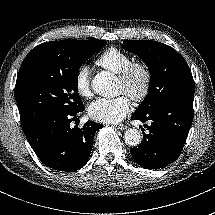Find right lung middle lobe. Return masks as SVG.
I'll return each mask as SVG.
<instances>
[{
	"label": "right lung middle lobe",
	"mask_w": 215,
	"mask_h": 215,
	"mask_svg": "<svg viewBox=\"0 0 215 215\" xmlns=\"http://www.w3.org/2000/svg\"><path fill=\"white\" fill-rule=\"evenodd\" d=\"M106 44L105 40H62L21 66L15 98L22 127L47 113H71L82 108L79 68Z\"/></svg>",
	"instance_id": "obj_1"
}]
</instances>
